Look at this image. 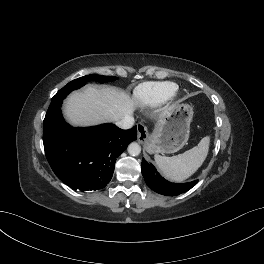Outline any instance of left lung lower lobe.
<instances>
[{"label":"left lung lower lobe","instance_id":"left-lung-lower-lobe-1","mask_svg":"<svg viewBox=\"0 0 264 264\" xmlns=\"http://www.w3.org/2000/svg\"><path fill=\"white\" fill-rule=\"evenodd\" d=\"M141 165L142 174L146 184L149 188L159 194L168 196L179 195L194 187L198 182V180H195L193 182L184 184L171 183L165 180L157 172L156 168L151 163H148L145 159L142 160Z\"/></svg>","mask_w":264,"mask_h":264}]
</instances>
